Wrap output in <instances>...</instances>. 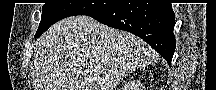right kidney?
Segmentation results:
<instances>
[{
  "instance_id": "right-kidney-1",
  "label": "right kidney",
  "mask_w": 216,
  "mask_h": 90,
  "mask_svg": "<svg viewBox=\"0 0 216 90\" xmlns=\"http://www.w3.org/2000/svg\"><path fill=\"white\" fill-rule=\"evenodd\" d=\"M136 88H141L140 84H138V86H136ZM127 90H135V88H134V86H133V88H128V86H127Z\"/></svg>"
}]
</instances>
